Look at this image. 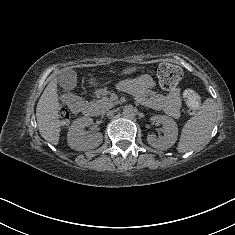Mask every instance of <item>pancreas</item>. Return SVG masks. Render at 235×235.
<instances>
[{
    "label": "pancreas",
    "instance_id": "pancreas-1",
    "mask_svg": "<svg viewBox=\"0 0 235 235\" xmlns=\"http://www.w3.org/2000/svg\"><path fill=\"white\" fill-rule=\"evenodd\" d=\"M99 101H101V104H105V103L109 102L108 99H101V100H99Z\"/></svg>",
    "mask_w": 235,
    "mask_h": 235
}]
</instances>
